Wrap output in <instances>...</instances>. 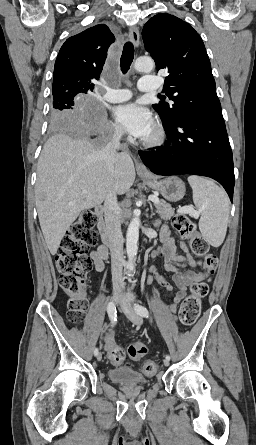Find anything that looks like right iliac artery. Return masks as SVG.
Returning a JSON list of instances; mask_svg holds the SVG:
<instances>
[{
	"instance_id": "1",
	"label": "right iliac artery",
	"mask_w": 256,
	"mask_h": 445,
	"mask_svg": "<svg viewBox=\"0 0 256 445\" xmlns=\"http://www.w3.org/2000/svg\"><path fill=\"white\" fill-rule=\"evenodd\" d=\"M107 312H108L109 318H110L112 326H113L117 320L116 319L117 315H116V308L114 305H112L111 302L108 304ZM98 354H99V350H98V348H95L94 355L97 356Z\"/></svg>"
}]
</instances>
